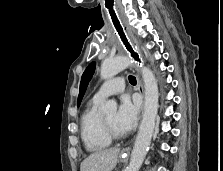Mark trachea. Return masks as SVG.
Returning a JSON list of instances; mask_svg holds the SVG:
<instances>
[{
    "label": "trachea",
    "instance_id": "trachea-1",
    "mask_svg": "<svg viewBox=\"0 0 223 171\" xmlns=\"http://www.w3.org/2000/svg\"><path fill=\"white\" fill-rule=\"evenodd\" d=\"M129 82H130L131 84H136V78H135L134 76L130 75V76H129Z\"/></svg>",
    "mask_w": 223,
    "mask_h": 171
}]
</instances>
